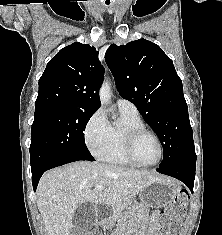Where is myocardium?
<instances>
[{"label":"myocardium","instance_id":"myocardium-1","mask_svg":"<svg viewBox=\"0 0 222 235\" xmlns=\"http://www.w3.org/2000/svg\"><path fill=\"white\" fill-rule=\"evenodd\" d=\"M145 135L152 136L158 143L159 150H160L159 158L155 162L150 163V164L140 162L137 159L136 153H135V149H136V145L138 141ZM123 152L127 160L131 164L138 166V167H145V168L154 167L158 165L164 158V146H163L161 139L155 132L149 130L145 126L130 127V128L125 129L124 134H123Z\"/></svg>","mask_w":222,"mask_h":235}]
</instances>
